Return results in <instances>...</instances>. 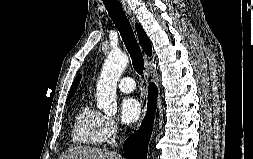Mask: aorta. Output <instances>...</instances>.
<instances>
[{
    "mask_svg": "<svg viewBox=\"0 0 253 159\" xmlns=\"http://www.w3.org/2000/svg\"><path fill=\"white\" fill-rule=\"evenodd\" d=\"M129 62L121 51H111L105 60L96 85L97 107L106 114L117 112V83Z\"/></svg>",
    "mask_w": 253,
    "mask_h": 159,
    "instance_id": "aorta-1",
    "label": "aorta"
}]
</instances>
